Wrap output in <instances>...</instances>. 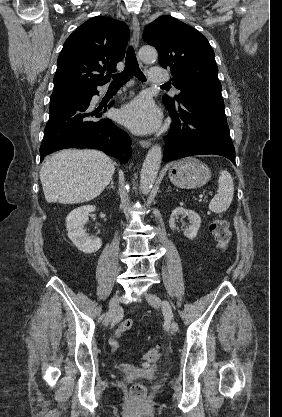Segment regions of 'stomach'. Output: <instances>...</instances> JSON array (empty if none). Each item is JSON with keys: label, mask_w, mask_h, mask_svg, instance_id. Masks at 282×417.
<instances>
[{"label": "stomach", "mask_w": 282, "mask_h": 417, "mask_svg": "<svg viewBox=\"0 0 282 417\" xmlns=\"http://www.w3.org/2000/svg\"><path fill=\"white\" fill-rule=\"evenodd\" d=\"M169 178L175 186L179 188H198L203 186L211 178V172L204 162L194 158V156H186L182 160L173 162L169 168Z\"/></svg>", "instance_id": "obj_1"}]
</instances>
